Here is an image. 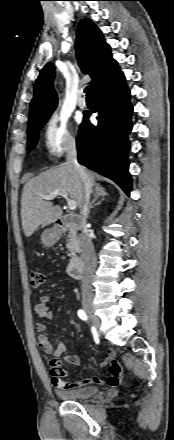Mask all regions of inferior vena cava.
Returning <instances> with one entry per match:
<instances>
[{
	"label": "inferior vena cava",
	"mask_w": 174,
	"mask_h": 440,
	"mask_svg": "<svg viewBox=\"0 0 174 440\" xmlns=\"http://www.w3.org/2000/svg\"><path fill=\"white\" fill-rule=\"evenodd\" d=\"M67 163L73 164L78 171L80 177L84 183V202L81 209V215L83 220V227L81 233V246H82V257L84 261V270L81 279V290L82 295H91V280L93 276V271L95 268V252L94 246L89 237L88 230L86 228V219L90 213V195L92 193V186L87 179L86 172L84 168L77 161V150L76 144L74 142H70L67 148L66 155Z\"/></svg>",
	"instance_id": "1"
}]
</instances>
